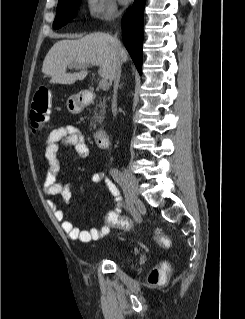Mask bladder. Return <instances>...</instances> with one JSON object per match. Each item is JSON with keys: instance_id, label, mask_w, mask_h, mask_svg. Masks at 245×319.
I'll return each instance as SVG.
<instances>
[{"instance_id": "bladder-1", "label": "bladder", "mask_w": 245, "mask_h": 319, "mask_svg": "<svg viewBox=\"0 0 245 319\" xmlns=\"http://www.w3.org/2000/svg\"><path fill=\"white\" fill-rule=\"evenodd\" d=\"M117 251H118V249H114V251H113V252H114V253H117Z\"/></svg>"}]
</instances>
